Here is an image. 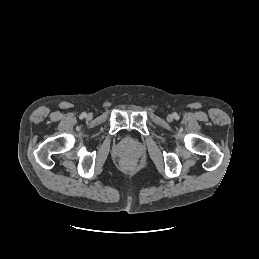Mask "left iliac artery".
I'll return each mask as SVG.
<instances>
[{
	"mask_svg": "<svg viewBox=\"0 0 259 259\" xmlns=\"http://www.w3.org/2000/svg\"><path fill=\"white\" fill-rule=\"evenodd\" d=\"M173 116L175 117V119H178V118H179V116H178L176 113H174Z\"/></svg>",
	"mask_w": 259,
	"mask_h": 259,
	"instance_id": "left-iliac-artery-1",
	"label": "left iliac artery"
}]
</instances>
